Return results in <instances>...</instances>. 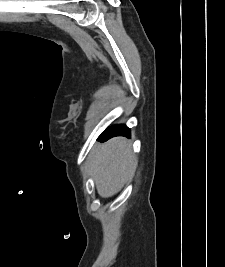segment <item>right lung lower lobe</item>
I'll return each instance as SVG.
<instances>
[{"instance_id": "98d812e1", "label": "right lung lower lobe", "mask_w": 225, "mask_h": 267, "mask_svg": "<svg viewBox=\"0 0 225 267\" xmlns=\"http://www.w3.org/2000/svg\"><path fill=\"white\" fill-rule=\"evenodd\" d=\"M130 135V129L126 125H116L103 132L98 140L103 142L115 136H126L130 138Z\"/></svg>"}]
</instances>
